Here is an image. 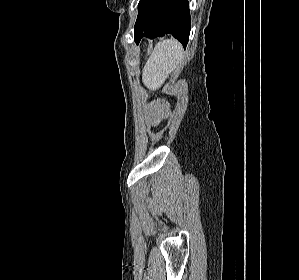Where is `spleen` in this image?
<instances>
[{"instance_id": "1", "label": "spleen", "mask_w": 299, "mask_h": 280, "mask_svg": "<svg viewBox=\"0 0 299 280\" xmlns=\"http://www.w3.org/2000/svg\"><path fill=\"white\" fill-rule=\"evenodd\" d=\"M183 47L174 39L157 43L143 68L142 81L154 91L159 89L169 74L183 61Z\"/></svg>"}]
</instances>
